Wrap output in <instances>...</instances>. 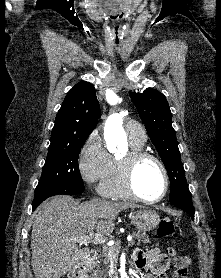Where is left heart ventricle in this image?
I'll return each instance as SVG.
<instances>
[{
    "mask_svg": "<svg viewBox=\"0 0 221 278\" xmlns=\"http://www.w3.org/2000/svg\"><path fill=\"white\" fill-rule=\"evenodd\" d=\"M126 153L119 155L125 156ZM134 183L138 192L146 198L159 197L164 189V177L159 166L152 160H144L138 164L134 172Z\"/></svg>",
    "mask_w": 221,
    "mask_h": 278,
    "instance_id": "obj_1",
    "label": "left heart ventricle"
}]
</instances>
